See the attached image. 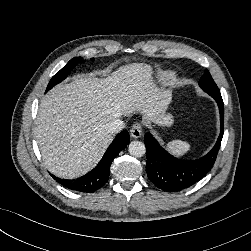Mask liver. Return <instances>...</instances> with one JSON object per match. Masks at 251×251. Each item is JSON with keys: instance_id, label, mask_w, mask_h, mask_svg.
<instances>
[{"instance_id": "6515ba94", "label": "liver", "mask_w": 251, "mask_h": 251, "mask_svg": "<svg viewBox=\"0 0 251 251\" xmlns=\"http://www.w3.org/2000/svg\"><path fill=\"white\" fill-rule=\"evenodd\" d=\"M153 68L132 63L104 78L77 75L42 99L35 134L48 170L62 178L86 174L113 140L108 124L132 112L159 124L170 90L157 87Z\"/></svg>"}]
</instances>
